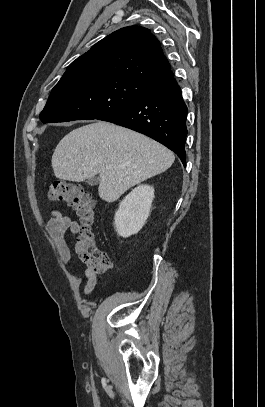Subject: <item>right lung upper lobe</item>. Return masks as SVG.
I'll use <instances>...</instances> for the list:
<instances>
[{
	"label": "right lung upper lobe",
	"instance_id": "1",
	"mask_svg": "<svg viewBox=\"0 0 265 407\" xmlns=\"http://www.w3.org/2000/svg\"><path fill=\"white\" fill-rule=\"evenodd\" d=\"M100 74L154 87L173 75L160 42L149 29L121 28L73 61L60 81L78 75Z\"/></svg>",
	"mask_w": 265,
	"mask_h": 407
}]
</instances>
